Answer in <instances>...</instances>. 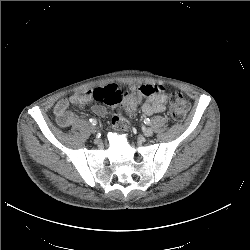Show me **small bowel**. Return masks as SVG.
Masks as SVG:
<instances>
[{"label": "small bowel", "mask_w": 250, "mask_h": 250, "mask_svg": "<svg viewBox=\"0 0 250 250\" xmlns=\"http://www.w3.org/2000/svg\"><path fill=\"white\" fill-rule=\"evenodd\" d=\"M138 91L146 98L141 107L144 114L153 115L155 113H163L166 110L168 97L164 88L153 85H142L138 88ZM92 97L91 91H84L68 98L60 99L54 107L57 123L61 127L73 125L78 120V117L70 112L69 108L72 106L85 108L90 104ZM92 112L101 117L106 114V108L103 105L96 104L92 107Z\"/></svg>", "instance_id": "1"}]
</instances>
